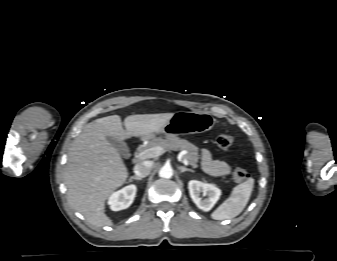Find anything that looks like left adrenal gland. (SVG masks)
<instances>
[{"label":"left adrenal gland","instance_id":"a2214340","mask_svg":"<svg viewBox=\"0 0 337 261\" xmlns=\"http://www.w3.org/2000/svg\"><path fill=\"white\" fill-rule=\"evenodd\" d=\"M179 170L181 173L185 172V171H189V172H194L192 169L186 168L184 166H180Z\"/></svg>","mask_w":337,"mask_h":261}]
</instances>
